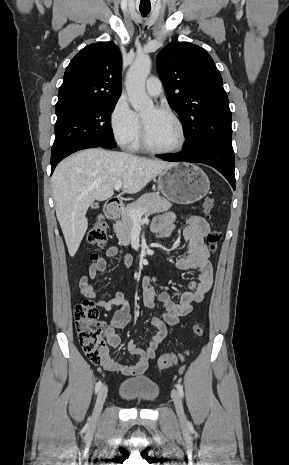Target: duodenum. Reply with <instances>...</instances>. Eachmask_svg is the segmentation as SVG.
<instances>
[{"mask_svg":"<svg viewBox=\"0 0 289 465\" xmlns=\"http://www.w3.org/2000/svg\"><path fill=\"white\" fill-rule=\"evenodd\" d=\"M121 210V201L119 199H111L108 201L106 207H105V215L106 217L114 221L119 217Z\"/></svg>","mask_w":289,"mask_h":465,"instance_id":"1","label":"duodenum"}]
</instances>
